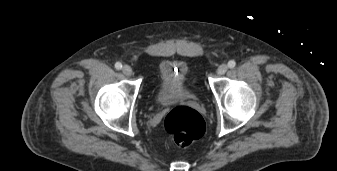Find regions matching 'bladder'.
<instances>
[{
	"label": "bladder",
	"instance_id": "31cf9c89",
	"mask_svg": "<svg viewBox=\"0 0 337 171\" xmlns=\"http://www.w3.org/2000/svg\"><path fill=\"white\" fill-rule=\"evenodd\" d=\"M194 98L188 85V67L185 63L165 61L157 69L153 100L157 105H171Z\"/></svg>",
	"mask_w": 337,
	"mask_h": 171
}]
</instances>
